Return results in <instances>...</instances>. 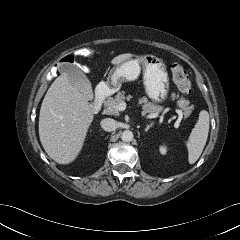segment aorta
Returning <instances> with one entry per match:
<instances>
[{
    "label": "aorta",
    "mask_w": 240,
    "mask_h": 240,
    "mask_svg": "<svg viewBox=\"0 0 240 240\" xmlns=\"http://www.w3.org/2000/svg\"><path fill=\"white\" fill-rule=\"evenodd\" d=\"M133 137H134L133 132L130 131V130H125V131H123V133H122V135H121V139H122V141H124V142H130V141H132V140H133Z\"/></svg>",
    "instance_id": "aorta-1"
}]
</instances>
